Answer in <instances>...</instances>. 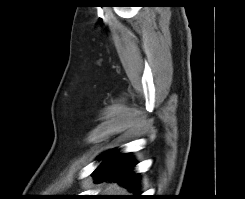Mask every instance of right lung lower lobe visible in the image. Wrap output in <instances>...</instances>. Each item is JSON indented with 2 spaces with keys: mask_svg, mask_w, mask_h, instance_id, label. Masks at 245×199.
<instances>
[{
  "mask_svg": "<svg viewBox=\"0 0 245 199\" xmlns=\"http://www.w3.org/2000/svg\"><path fill=\"white\" fill-rule=\"evenodd\" d=\"M102 157L105 159L93 173L96 182L113 180L126 188L136 190L138 174L133 173L135 162L128 153H105Z\"/></svg>",
  "mask_w": 245,
  "mask_h": 199,
  "instance_id": "right-lung-lower-lobe-1",
  "label": "right lung lower lobe"
}]
</instances>
